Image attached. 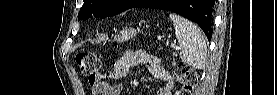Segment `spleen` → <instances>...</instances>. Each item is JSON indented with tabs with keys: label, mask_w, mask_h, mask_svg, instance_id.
Returning a JSON list of instances; mask_svg holds the SVG:
<instances>
[{
	"label": "spleen",
	"mask_w": 277,
	"mask_h": 95,
	"mask_svg": "<svg viewBox=\"0 0 277 95\" xmlns=\"http://www.w3.org/2000/svg\"><path fill=\"white\" fill-rule=\"evenodd\" d=\"M169 17L174 24L176 38L182 47L181 60L196 69H203L206 60V42L200 29L194 23L176 14H170Z\"/></svg>",
	"instance_id": "obj_1"
}]
</instances>
